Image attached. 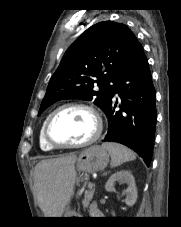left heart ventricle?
<instances>
[{
	"label": "left heart ventricle",
	"mask_w": 181,
	"mask_h": 227,
	"mask_svg": "<svg viewBox=\"0 0 181 227\" xmlns=\"http://www.w3.org/2000/svg\"><path fill=\"white\" fill-rule=\"evenodd\" d=\"M95 130V122L89 112L80 108L60 111L51 124V136L60 143H78L88 139Z\"/></svg>",
	"instance_id": "1"
}]
</instances>
